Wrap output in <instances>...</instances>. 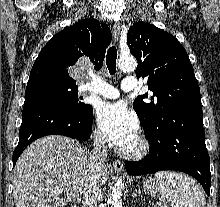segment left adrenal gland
<instances>
[{
  "instance_id": "left-adrenal-gland-1",
  "label": "left adrenal gland",
  "mask_w": 220,
  "mask_h": 207,
  "mask_svg": "<svg viewBox=\"0 0 220 207\" xmlns=\"http://www.w3.org/2000/svg\"><path fill=\"white\" fill-rule=\"evenodd\" d=\"M139 194H140V191H135L134 194H132V197H136Z\"/></svg>"
}]
</instances>
